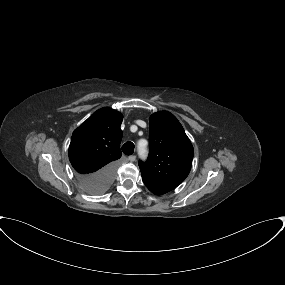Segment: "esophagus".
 <instances>
[{
	"instance_id": "34e87169",
	"label": "esophagus",
	"mask_w": 285,
	"mask_h": 285,
	"mask_svg": "<svg viewBox=\"0 0 285 285\" xmlns=\"http://www.w3.org/2000/svg\"><path fill=\"white\" fill-rule=\"evenodd\" d=\"M128 160H129L130 162H134V161L136 160V156L131 155V156L128 157Z\"/></svg>"
}]
</instances>
